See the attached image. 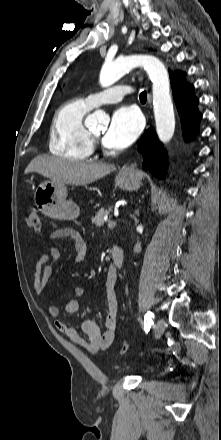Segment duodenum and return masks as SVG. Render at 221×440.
<instances>
[{"instance_id": "410a0bca", "label": "duodenum", "mask_w": 221, "mask_h": 440, "mask_svg": "<svg viewBox=\"0 0 221 440\" xmlns=\"http://www.w3.org/2000/svg\"><path fill=\"white\" fill-rule=\"evenodd\" d=\"M111 256L113 260L112 269L116 272V270L120 269L124 264V251L120 246H113L111 248Z\"/></svg>"}]
</instances>
